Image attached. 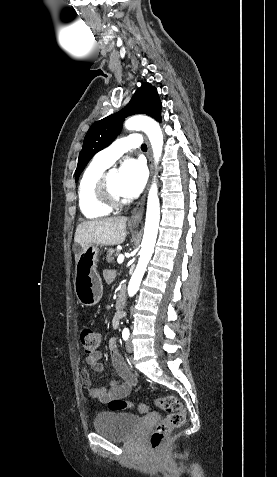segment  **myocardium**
I'll list each match as a JSON object with an SVG mask.
<instances>
[{
  "label": "myocardium",
  "mask_w": 277,
  "mask_h": 477,
  "mask_svg": "<svg viewBox=\"0 0 277 477\" xmlns=\"http://www.w3.org/2000/svg\"><path fill=\"white\" fill-rule=\"evenodd\" d=\"M110 171H105L101 174L94 186V196L96 200L103 206L109 209H118L125 203L121 196L115 195L109 185Z\"/></svg>",
  "instance_id": "obj_1"
}]
</instances>
